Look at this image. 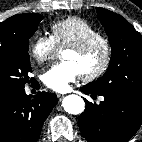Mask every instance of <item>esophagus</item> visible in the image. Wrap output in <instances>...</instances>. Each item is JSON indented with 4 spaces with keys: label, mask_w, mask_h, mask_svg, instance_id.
Listing matches in <instances>:
<instances>
[{
    "label": "esophagus",
    "mask_w": 142,
    "mask_h": 142,
    "mask_svg": "<svg viewBox=\"0 0 142 142\" xmlns=\"http://www.w3.org/2000/svg\"><path fill=\"white\" fill-rule=\"evenodd\" d=\"M57 96H58L59 100H62L64 98L63 94H58Z\"/></svg>",
    "instance_id": "34e87169"
}]
</instances>
